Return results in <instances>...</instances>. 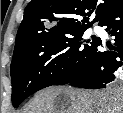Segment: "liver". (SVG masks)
Wrapping results in <instances>:
<instances>
[{"label": "liver", "instance_id": "liver-1", "mask_svg": "<svg viewBox=\"0 0 123 113\" xmlns=\"http://www.w3.org/2000/svg\"><path fill=\"white\" fill-rule=\"evenodd\" d=\"M23 113H123V89L48 87L34 96Z\"/></svg>", "mask_w": 123, "mask_h": 113}]
</instances>
